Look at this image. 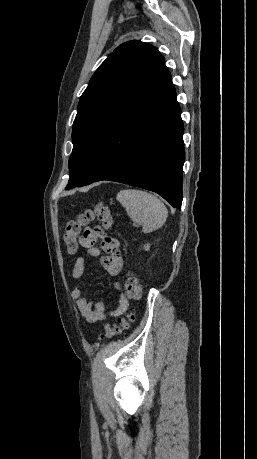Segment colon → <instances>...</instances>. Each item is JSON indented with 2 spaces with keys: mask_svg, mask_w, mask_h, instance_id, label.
I'll return each instance as SVG.
<instances>
[{
  "mask_svg": "<svg viewBox=\"0 0 257 459\" xmlns=\"http://www.w3.org/2000/svg\"><path fill=\"white\" fill-rule=\"evenodd\" d=\"M94 218H97L102 222L106 229L111 228L113 224V218L111 211L105 202L100 201L95 204L92 208L85 209L84 211L77 214L76 218L67 222L66 231L64 234V241L70 253H74L80 243V234ZM79 229V234H73V229ZM85 231L84 235L86 234ZM124 291L130 299H140L142 295V286L139 280L134 276H128L124 280L123 284ZM134 319V313L130 312L125 317H120L117 323L113 327H106L101 333V337H112L123 330L127 329Z\"/></svg>",
  "mask_w": 257,
  "mask_h": 459,
  "instance_id": "colon-1",
  "label": "colon"
}]
</instances>
